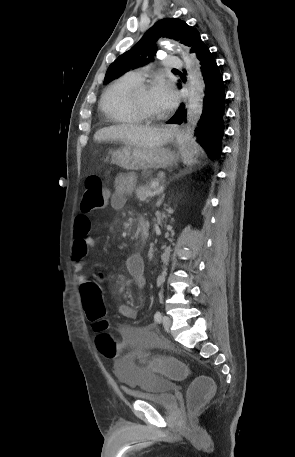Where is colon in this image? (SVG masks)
<instances>
[{
	"label": "colon",
	"mask_w": 295,
	"mask_h": 457,
	"mask_svg": "<svg viewBox=\"0 0 295 457\" xmlns=\"http://www.w3.org/2000/svg\"><path fill=\"white\" fill-rule=\"evenodd\" d=\"M107 202V191L104 187L102 178L98 174L89 175L84 186V195L81 203V210L85 213L103 208ZM105 278L101 275H94L93 280L88 281L82 286L83 305L86 315L94 323L95 342L98 355H105L107 360H124L122 341H114L109 332V324L105 318L106 310L102 302V284ZM133 360H141L142 353H134ZM153 363V360H150ZM156 371L165 372L166 378H172L174 383H181L183 378H191L192 370L187 369L185 363H168L162 360L158 363L155 360ZM153 370L155 367H149ZM214 390L211 374H200L199 379L193 381L187 393V402L190 411L197 410Z\"/></svg>",
	"instance_id": "5ec220e1"
}]
</instances>
